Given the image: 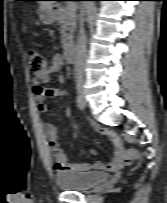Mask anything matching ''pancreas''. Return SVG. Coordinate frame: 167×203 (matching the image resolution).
<instances>
[{
  "mask_svg": "<svg viewBox=\"0 0 167 203\" xmlns=\"http://www.w3.org/2000/svg\"><path fill=\"white\" fill-rule=\"evenodd\" d=\"M58 22L61 25V43L64 50L69 49L73 44V34L77 26L75 11H67L66 8L60 11Z\"/></svg>",
  "mask_w": 167,
  "mask_h": 203,
  "instance_id": "cf45deb5",
  "label": "pancreas"
}]
</instances>
